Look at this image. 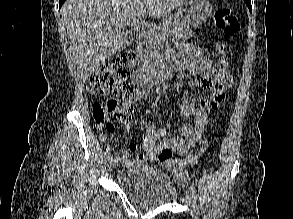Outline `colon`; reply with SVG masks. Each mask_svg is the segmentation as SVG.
Here are the masks:
<instances>
[{"mask_svg": "<svg viewBox=\"0 0 293 219\" xmlns=\"http://www.w3.org/2000/svg\"><path fill=\"white\" fill-rule=\"evenodd\" d=\"M216 25L226 36H235L240 31V22L230 9H220L215 15ZM214 54L218 57L216 68L222 74H228V61L224 57L229 52L225 43L214 46ZM138 60L136 51H129L111 61L103 64L89 77L90 86L100 95L108 96L104 101L93 104L92 114L101 130L113 133L117 124H126L130 121L135 110L134 101L138 91L129 83V77ZM208 141L200 142L197 152L190 154L186 159L172 160V149L165 148L158 154V159L168 168H172L179 178H182V169L195 164L200 156L207 150Z\"/></svg>", "mask_w": 293, "mask_h": 219, "instance_id": "colon-1", "label": "colon"}]
</instances>
